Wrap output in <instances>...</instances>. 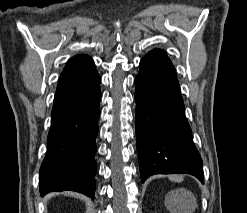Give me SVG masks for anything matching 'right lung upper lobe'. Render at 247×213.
I'll list each match as a JSON object with an SVG mask.
<instances>
[{"instance_id":"cb5924a9","label":"right lung upper lobe","mask_w":247,"mask_h":213,"mask_svg":"<svg viewBox=\"0 0 247 213\" xmlns=\"http://www.w3.org/2000/svg\"><path fill=\"white\" fill-rule=\"evenodd\" d=\"M94 66V61L87 55H76L70 58L63 69L60 77L82 71Z\"/></svg>"}]
</instances>
